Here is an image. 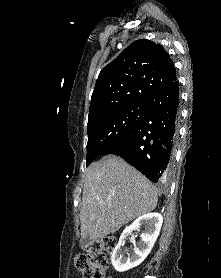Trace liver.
<instances>
[{"label":"liver","instance_id":"obj_1","mask_svg":"<svg viewBox=\"0 0 221 278\" xmlns=\"http://www.w3.org/2000/svg\"><path fill=\"white\" fill-rule=\"evenodd\" d=\"M154 185L117 156L92 163L86 171L80 210L81 237L102 239L153 211Z\"/></svg>","mask_w":221,"mask_h":278}]
</instances>
